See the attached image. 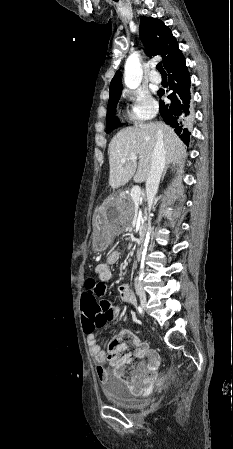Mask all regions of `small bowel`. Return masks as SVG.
Returning <instances> with one entry per match:
<instances>
[{
	"instance_id": "obj_1",
	"label": "small bowel",
	"mask_w": 233,
	"mask_h": 449,
	"mask_svg": "<svg viewBox=\"0 0 233 449\" xmlns=\"http://www.w3.org/2000/svg\"><path fill=\"white\" fill-rule=\"evenodd\" d=\"M119 251H113L109 253L104 263L97 265L95 271L98 276V280L94 283L93 290L96 292V301L98 305L104 309L107 314L104 317L103 327L112 320L118 318L120 314V306L115 305L113 300L107 299L108 289L107 284L111 281L113 273L111 266L114 265L120 258ZM132 288L128 284H123L119 287V297L126 303H131L133 300ZM83 321V319H82ZM87 335V342L96 365V373L102 382L108 380V369L106 363L109 362L110 366L114 369L115 374L119 379L125 382L122 375L131 369L132 375H130V384H133V398L134 399H149L150 391L152 390V384L154 381L153 373L159 366V356L157 352L151 349L146 343L141 342L137 337L132 336L130 341L120 345V354L115 357V360H120L121 364L117 365L113 360L109 358L106 351L102 349L99 344L96 328H83ZM140 359V362L133 366L132 357Z\"/></svg>"
}]
</instances>
